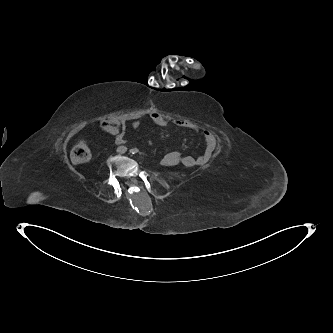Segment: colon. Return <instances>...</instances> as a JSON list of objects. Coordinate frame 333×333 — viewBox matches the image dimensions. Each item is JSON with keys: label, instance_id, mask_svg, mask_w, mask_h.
Masks as SVG:
<instances>
[{"label": "colon", "instance_id": "1", "mask_svg": "<svg viewBox=\"0 0 333 333\" xmlns=\"http://www.w3.org/2000/svg\"><path fill=\"white\" fill-rule=\"evenodd\" d=\"M70 157L74 164L86 163L91 159V151L86 144L78 143L73 147ZM179 157H181V154L176 150H173L167 155H163L160 158V161L163 164H166L168 161L177 160Z\"/></svg>", "mask_w": 333, "mask_h": 333}]
</instances>
